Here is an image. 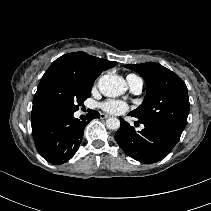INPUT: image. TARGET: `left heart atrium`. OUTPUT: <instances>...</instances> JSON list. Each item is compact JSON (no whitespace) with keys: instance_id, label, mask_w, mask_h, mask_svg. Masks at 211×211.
Wrapping results in <instances>:
<instances>
[{"instance_id":"left-heart-atrium-1","label":"left heart atrium","mask_w":211,"mask_h":211,"mask_svg":"<svg viewBox=\"0 0 211 211\" xmlns=\"http://www.w3.org/2000/svg\"><path fill=\"white\" fill-rule=\"evenodd\" d=\"M101 108L112 114H121L124 113L128 106L125 102L119 100H108L101 104Z\"/></svg>"}]
</instances>
